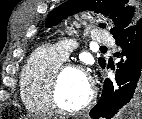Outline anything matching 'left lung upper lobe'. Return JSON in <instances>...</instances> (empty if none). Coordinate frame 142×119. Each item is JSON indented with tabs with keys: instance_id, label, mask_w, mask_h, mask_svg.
<instances>
[{
	"instance_id": "left-lung-upper-lobe-1",
	"label": "left lung upper lobe",
	"mask_w": 142,
	"mask_h": 119,
	"mask_svg": "<svg viewBox=\"0 0 142 119\" xmlns=\"http://www.w3.org/2000/svg\"><path fill=\"white\" fill-rule=\"evenodd\" d=\"M92 10L103 13L114 20L115 27L110 32L115 36L122 33L126 28L141 19L138 7L130 0H68L61 6L55 8L46 20L47 26H53L75 12ZM103 28L104 26L100 24ZM98 62L102 68L105 67V60L99 58Z\"/></svg>"
}]
</instances>
